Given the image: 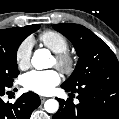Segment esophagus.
<instances>
[{"instance_id": "34e87169", "label": "esophagus", "mask_w": 119, "mask_h": 119, "mask_svg": "<svg viewBox=\"0 0 119 119\" xmlns=\"http://www.w3.org/2000/svg\"><path fill=\"white\" fill-rule=\"evenodd\" d=\"M40 99H41V102H45L46 101V97H40Z\"/></svg>"}]
</instances>
